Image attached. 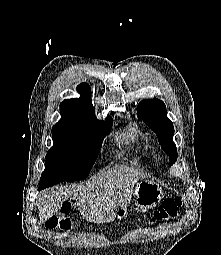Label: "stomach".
Wrapping results in <instances>:
<instances>
[{
	"mask_svg": "<svg viewBox=\"0 0 221 255\" xmlns=\"http://www.w3.org/2000/svg\"><path fill=\"white\" fill-rule=\"evenodd\" d=\"M163 189L154 181L143 179L134 188V202L140 210L154 208L163 198ZM128 215V206L121 205L115 210V217L119 220Z\"/></svg>",
	"mask_w": 221,
	"mask_h": 255,
	"instance_id": "stomach-1",
	"label": "stomach"
}]
</instances>
